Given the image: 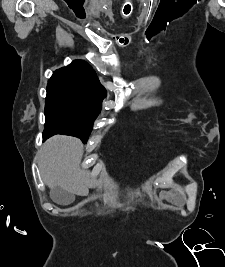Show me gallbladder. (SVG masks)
I'll return each instance as SVG.
<instances>
[{
  "instance_id": "gallbladder-1",
  "label": "gallbladder",
  "mask_w": 225,
  "mask_h": 267,
  "mask_svg": "<svg viewBox=\"0 0 225 267\" xmlns=\"http://www.w3.org/2000/svg\"><path fill=\"white\" fill-rule=\"evenodd\" d=\"M51 199L60 205H68L74 201V195L58 186L52 187L50 190Z\"/></svg>"
}]
</instances>
